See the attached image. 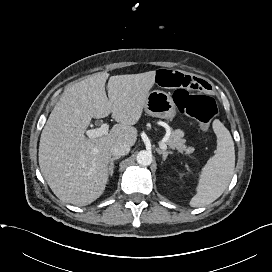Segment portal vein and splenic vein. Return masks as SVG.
<instances>
[{
	"instance_id": "portal-vein-and-splenic-vein-1",
	"label": "portal vein and splenic vein",
	"mask_w": 272,
	"mask_h": 272,
	"mask_svg": "<svg viewBox=\"0 0 272 272\" xmlns=\"http://www.w3.org/2000/svg\"><path fill=\"white\" fill-rule=\"evenodd\" d=\"M108 130L109 125L107 123H103L99 128L87 130L86 135L88 138H97L108 134ZM159 146L161 149H167V145L163 141L159 142Z\"/></svg>"
}]
</instances>
